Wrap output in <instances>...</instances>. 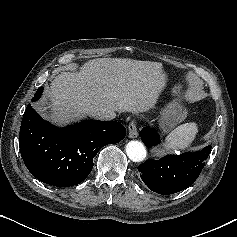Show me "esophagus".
<instances>
[{
  "label": "esophagus",
  "instance_id": "obj_1",
  "mask_svg": "<svg viewBox=\"0 0 237 237\" xmlns=\"http://www.w3.org/2000/svg\"><path fill=\"white\" fill-rule=\"evenodd\" d=\"M128 130H129V138H136L138 136V131H137V127H136V123L134 121H131L128 124Z\"/></svg>",
  "mask_w": 237,
  "mask_h": 237
}]
</instances>
